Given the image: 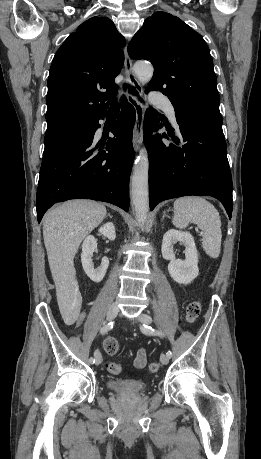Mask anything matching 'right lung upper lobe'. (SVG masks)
<instances>
[{"label": "right lung upper lobe", "mask_w": 261, "mask_h": 459, "mask_svg": "<svg viewBox=\"0 0 261 459\" xmlns=\"http://www.w3.org/2000/svg\"><path fill=\"white\" fill-rule=\"evenodd\" d=\"M125 39L113 22L93 17L81 24L56 52L48 77V126L66 120L94 121L117 88Z\"/></svg>", "instance_id": "right-lung-upper-lobe-1"}]
</instances>
